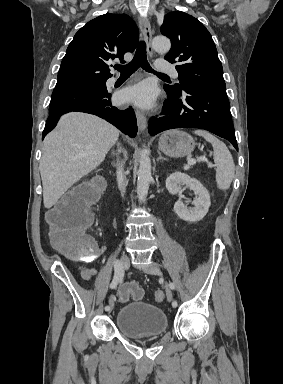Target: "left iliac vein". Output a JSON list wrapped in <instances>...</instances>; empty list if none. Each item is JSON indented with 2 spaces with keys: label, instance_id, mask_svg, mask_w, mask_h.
<instances>
[{
  "label": "left iliac vein",
  "instance_id": "obj_1",
  "mask_svg": "<svg viewBox=\"0 0 283 384\" xmlns=\"http://www.w3.org/2000/svg\"><path fill=\"white\" fill-rule=\"evenodd\" d=\"M144 271L146 273L152 274V275H159V276L162 275L161 270L159 269V267L156 264H151V265L146 266L144 268ZM165 290H166L168 301H171V299H172V292H171L170 285L167 282H165Z\"/></svg>",
  "mask_w": 283,
  "mask_h": 384
}]
</instances>
